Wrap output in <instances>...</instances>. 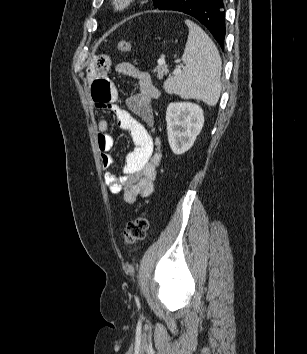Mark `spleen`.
<instances>
[{
	"instance_id": "obj_1",
	"label": "spleen",
	"mask_w": 307,
	"mask_h": 354,
	"mask_svg": "<svg viewBox=\"0 0 307 354\" xmlns=\"http://www.w3.org/2000/svg\"><path fill=\"white\" fill-rule=\"evenodd\" d=\"M189 35L182 60L183 71L164 83L165 90L184 99L217 104L222 90L221 57L210 37L190 20L185 21Z\"/></svg>"
}]
</instances>
